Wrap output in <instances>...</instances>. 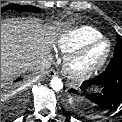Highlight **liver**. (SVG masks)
<instances>
[{"label": "liver", "instance_id": "liver-1", "mask_svg": "<svg viewBox=\"0 0 122 122\" xmlns=\"http://www.w3.org/2000/svg\"><path fill=\"white\" fill-rule=\"evenodd\" d=\"M58 28L38 19L9 18L1 22V85L31 71L49 54Z\"/></svg>", "mask_w": 122, "mask_h": 122}]
</instances>
